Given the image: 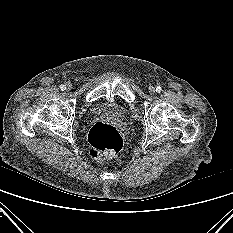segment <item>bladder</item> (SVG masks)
Masks as SVG:
<instances>
[{
  "label": "bladder",
  "mask_w": 233,
  "mask_h": 233,
  "mask_svg": "<svg viewBox=\"0 0 233 233\" xmlns=\"http://www.w3.org/2000/svg\"><path fill=\"white\" fill-rule=\"evenodd\" d=\"M94 111L98 114H105L112 117H123L126 113V108L118 103H104L98 105Z\"/></svg>",
  "instance_id": "obj_1"
}]
</instances>
